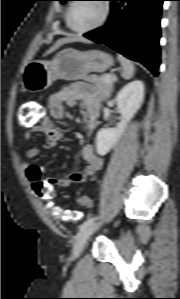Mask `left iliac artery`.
<instances>
[{"instance_id": "obj_1", "label": "left iliac artery", "mask_w": 180, "mask_h": 299, "mask_svg": "<svg viewBox=\"0 0 180 299\" xmlns=\"http://www.w3.org/2000/svg\"><path fill=\"white\" fill-rule=\"evenodd\" d=\"M96 220H97V217L88 219L87 221H85L83 224L80 225L79 230L82 231L83 229H85L89 225L93 224L94 221H96Z\"/></svg>"}]
</instances>
